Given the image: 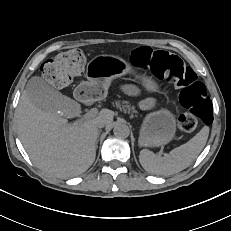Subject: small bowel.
Masks as SVG:
<instances>
[{"instance_id":"1","label":"small bowel","mask_w":231,"mask_h":231,"mask_svg":"<svg viewBox=\"0 0 231 231\" xmlns=\"http://www.w3.org/2000/svg\"><path fill=\"white\" fill-rule=\"evenodd\" d=\"M125 90H130V88L129 87H125Z\"/></svg>"}]
</instances>
